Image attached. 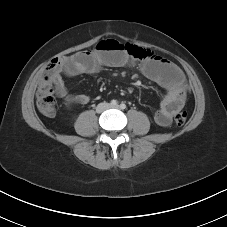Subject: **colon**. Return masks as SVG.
Instances as JSON below:
<instances>
[{"label": "colon", "mask_w": 227, "mask_h": 227, "mask_svg": "<svg viewBox=\"0 0 227 227\" xmlns=\"http://www.w3.org/2000/svg\"><path fill=\"white\" fill-rule=\"evenodd\" d=\"M127 51L136 59L144 60L152 56L149 50L142 49L134 45H125ZM61 62V58L53 59L47 70L51 73ZM47 75L39 85L36 103L38 110L45 116L52 117L56 113V100L54 96V89ZM187 112L181 111L175 115V123L177 126H183L187 121Z\"/></svg>", "instance_id": "1"}]
</instances>
